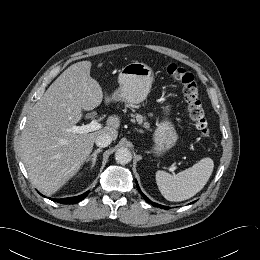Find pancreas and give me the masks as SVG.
<instances>
[{
    "label": "pancreas",
    "instance_id": "pancreas-1",
    "mask_svg": "<svg viewBox=\"0 0 260 260\" xmlns=\"http://www.w3.org/2000/svg\"><path fill=\"white\" fill-rule=\"evenodd\" d=\"M133 117L136 118V121L138 122V124H142L145 120V118L142 115H139V114H137ZM132 122H135V119H132ZM143 125H144L145 128L149 129V123L148 122H144Z\"/></svg>",
    "mask_w": 260,
    "mask_h": 260
}]
</instances>
